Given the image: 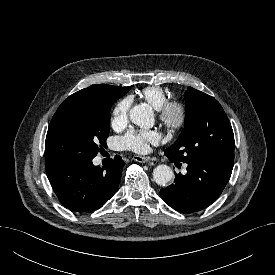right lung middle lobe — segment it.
Listing matches in <instances>:
<instances>
[{
  "mask_svg": "<svg viewBox=\"0 0 275 275\" xmlns=\"http://www.w3.org/2000/svg\"><path fill=\"white\" fill-rule=\"evenodd\" d=\"M129 90L101 103L88 102L57 110L46 136L45 160L93 159L106 145L112 104Z\"/></svg>",
  "mask_w": 275,
  "mask_h": 275,
  "instance_id": "obj_1",
  "label": "right lung middle lobe"
}]
</instances>
